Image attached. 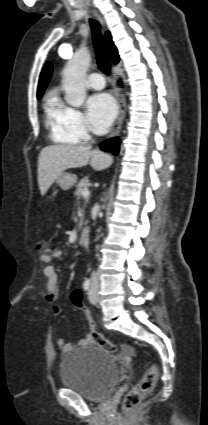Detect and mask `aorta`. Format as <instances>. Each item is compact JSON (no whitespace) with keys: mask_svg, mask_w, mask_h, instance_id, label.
Masks as SVG:
<instances>
[{"mask_svg":"<svg viewBox=\"0 0 208 425\" xmlns=\"http://www.w3.org/2000/svg\"><path fill=\"white\" fill-rule=\"evenodd\" d=\"M90 62V54L85 50H79L69 60L64 69L62 84L65 91V100L73 107L78 108L85 101V77Z\"/></svg>","mask_w":208,"mask_h":425,"instance_id":"aorta-1","label":"aorta"}]
</instances>
